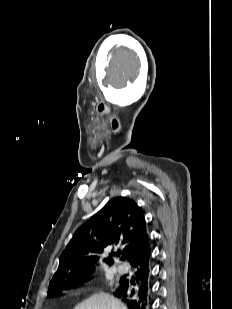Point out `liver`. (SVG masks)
I'll use <instances>...</instances> for the list:
<instances>
[{"label":"liver","mask_w":232,"mask_h":309,"mask_svg":"<svg viewBox=\"0 0 232 309\" xmlns=\"http://www.w3.org/2000/svg\"><path fill=\"white\" fill-rule=\"evenodd\" d=\"M74 309H127V307L113 296L101 292L92 295Z\"/></svg>","instance_id":"liver-1"}]
</instances>
